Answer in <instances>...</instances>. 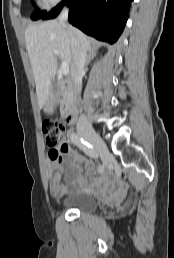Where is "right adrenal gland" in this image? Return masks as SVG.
<instances>
[{"label": "right adrenal gland", "mask_w": 174, "mask_h": 258, "mask_svg": "<svg viewBox=\"0 0 174 258\" xmlns=\"http://www.w3.org/2000/svg\"><path fill=\"white\" fill-rule=\"evenodd\" d=\"M94 57H96V51L94 48H90L87 55L86 66L90 63L92 59H94Z\"/></svg>", "instance_id": "obj_1"}]
</instances>
